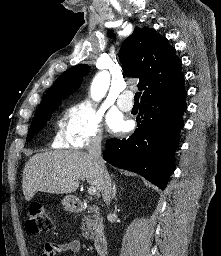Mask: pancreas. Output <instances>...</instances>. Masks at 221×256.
Instances as JSON below:
<instances>
[{
  "label": "pancreas",
  "instance_id": "obj_1",
  "mask_svg": "<svg viewBox=\"0 0 221 256\" xmlns=\"http://www.w3.org/2000/svg\"><path fill=\"white\" fill-rule=\"evenodd\" d=\"M94 212L93 215L85 216L82 222V230L84 236H89L93 238V231L96 229H100L102 227V218L99 215V211L97 208H90L88 213Z\"/></svg>",
  "mask_w": 221,
  "mask_h": 256
}]
</instances>
